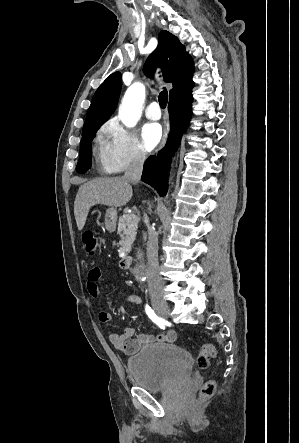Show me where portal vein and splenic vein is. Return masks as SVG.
Wrapping results in <instances>:
<instances>
[{
  "mask_svg": "<svg viewBox=\"0 0 299 443\" xmlns=\"http://www.w3.org/2000/svg\"><path fill=\"white\" fill-rule=\"evenodd\" d=\"M135 218H136V215H134V214H131V215H129V217H128L129 220H132V219H135Z\"/></svg>",
  "mask_w": 299,
  "mask_h": 443,
  "instance_id": "1",
  "label": "portal vein and splenic vein"
}]
</instances>
